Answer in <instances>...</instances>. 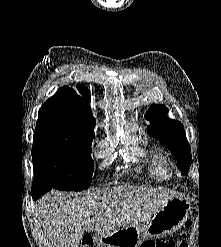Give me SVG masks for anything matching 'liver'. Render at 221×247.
Instances as JSON below:
<instances>
[{
	"label": "liver",
	"instance_id": "obj_1",
	"mask_svg": "<svg viewBox=\"0 0 221 247\" xmlns=\"http://www.w3.org/2000/svg\"><path fill=\"white\" fill-rule=\"evenodd\" d=\"M172 193L153 188L117 186L83 196L51 191L35 204L49 247H78L85 231L109 232L151 219Z\"/></svg>",
	"mask_w": 221,
	"mask_h": 247
}]
</instances>
